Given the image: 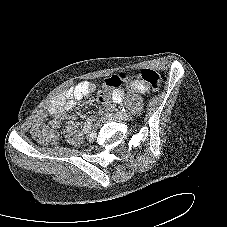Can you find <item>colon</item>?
Instances as JSON below:
<instances>
[{
	"mask_svg": "<svg viewBox=\"0 0 227 227\" xmlns=\"http://www.w3.org/2000/svg\"><path fill=\"white\" fill-rule=\"evenodd\" d=\"M135 76L147 84V86L152 90H158L160 89L162 85V78L160 74L153 70L148 68L139 69L135 72ZM125 79L124 74H115L105 79V87L112 88L119 86ZM106 99L105 93H102L99 96V100L101 102H104ZM34 137L40 141L45 142L47 139H49V134L47 132H36L34 134Z\"/></svg>",
	"mask_w": 227,
	"mask_h": 227,
	"instance_id": "1",
	"label": "colon"
}]
</instances>
